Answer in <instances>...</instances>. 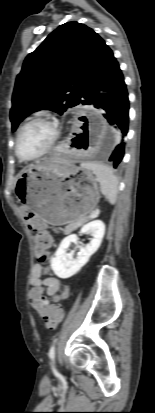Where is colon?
I'll list each match as a JSON object with an SVG mask.
<instances>
[{
  "label": "colon",
  "instance_id": "5ec220e1",
  "mask_svg": "<svg viewBox=\"0 0 155 413\" xmlns=\"http://www.w3.org/2000/svg\"><path fill=\"white\" fill-rule=\"evenodd\" d=\"M36 235V247L35 256L38 262H45L47 259L46 247H47V237L44 232L34 231ZM41 274H48L50 268L48 265H41L39 268ZM68 296V292L65 291L57 300L65 299ZM30 303L42 317L46 328L53 329L57 324H59L64 317V312L61 306L58 304H49L44 296L37 293H31L29 296Z\"/></svg>",
  "mask_w": 155,
  "mask_h": 413
}]
</instances>
